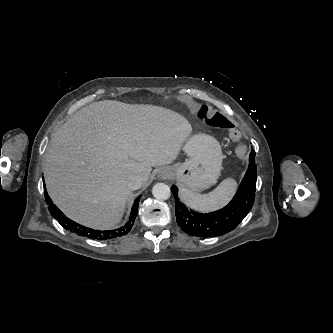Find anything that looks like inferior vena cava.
I'll list each match as a JSON object with an SVG mask.
<instances>
[{"instance_id":"602c4592","label":"inferior vena cava","mask_w":333,"mask_h":333,"mask_svg":"<svg viewBox=\"0 0 333 333\" xmlns=\"http://www.w3.org/2000/svg\"><path fill=\"white\" fill-rule=\"evenodd\" d=\"M142 182L139 175H131L126 180V186L129 190H137L142 186Z\"/></svg>"}]
</instances>
